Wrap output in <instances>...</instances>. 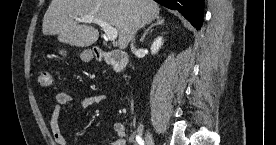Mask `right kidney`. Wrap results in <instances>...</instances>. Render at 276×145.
<instances>
[{"label":"right kidney","instance_id":"obj_1","mask_svg":"<svg viewBox=\"0 0 276 145\" xmlns=\"http://www.w3.org/2000/svg\"><path fill=\"white\" fill-rule=\"evenodd\" d=\"M162 45H163V38L157 37L151 45V53L156 54Z\"/></svg>","mask_w":276,"mask_h":145}]
</instances>
